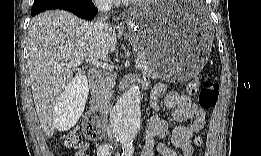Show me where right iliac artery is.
I'll return each instance as SVG.
<instances>
[{
  "instance_id": "obj_1",
  "label": "right iliac artery",
  "mask_w": 261,
  "mask_h": 156,
  "mask_svg": "<svg viewBox=\"0 0 261 156\" xmlns=\"http://www.w3.org/2000/svg\"><path fill=\"white\" fill-rule=\"evenodd\" d=\"M113 147L110 144H102L97 149V155L99 156H108L111 155Z\"/></svg>"
}]
</instances>
